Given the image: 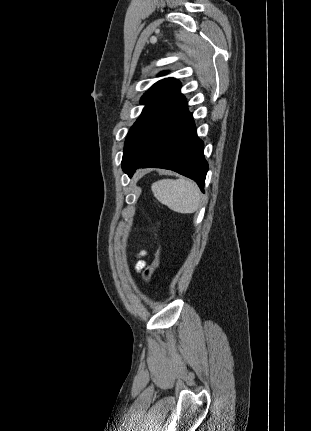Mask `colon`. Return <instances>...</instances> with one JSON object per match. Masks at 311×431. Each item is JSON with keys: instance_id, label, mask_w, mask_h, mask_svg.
Returning a JSON list of instances; mask_svg holds the SVG:
<instances>
[{"instance_id": "5ec220e1", "label": "colon", "mask_w": 311, "mask_h": 431, "mask_svg": "<svg viewBox=\"0 0 311 431\" xmlns=\"http://www.w3.org/2000/svg\"><path fill=\"white\" fill-rule=\"evenodd\" d=\"M163 257H164V251H163V247L161 246L155 261L152 263V265H150L149 267L146 268L145 272H144V277L145 280L147 282H149L153 276V274L155 273V271L161 266L162 262H163Z\"/></svg>"}]
</instances>
